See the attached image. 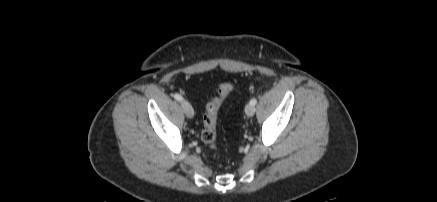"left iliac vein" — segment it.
<instances>
[{
	"mask_svg": "<svg viewBox=\"0 0 437 202\" xmlns=\"http://www.w3.org/2000/svg\"><path fill=\"white\" fill-rule=\"evenodd\" d=\"M245 113L248 117H251L255 113V106L251 105L250 103L246 105L245 107Z\"/></svg>",
	"mask_w": 437,
	"mask_h": 202,
	"instance_id": "1",
	"label": "left iliac vein"
}]
</instances>
